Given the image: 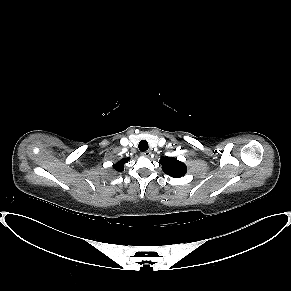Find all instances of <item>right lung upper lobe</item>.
<instances>
[{"label":"right lung upper lobe","instance_id":"1","mask_svg":"<svg viewBox=\"0 0 291 291\" xmlns=\"http://www.w3.org/2000/svg\"><path fill=\"white\" fill-rule=\"evenodd\" d=\"M129 161V158L122 159L113 165V169L118 172H122L124 170V164Z\"/></svg>","mask_w":291,"mask_h":291}]
</instances>
